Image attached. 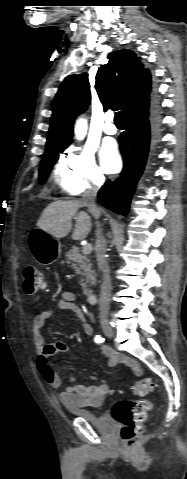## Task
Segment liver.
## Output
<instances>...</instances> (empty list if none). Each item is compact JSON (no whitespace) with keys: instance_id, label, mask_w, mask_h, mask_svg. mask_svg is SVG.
Returning <instances> with one entry per match:
<instances>
[{"instance_id":"6515ba94","label":"liver","mask_w":187,"mask_h":479,"mask_svg":"<svg viewBox=\"0 0 187 479\" xmlns=\"http://www.w3.org/2000/svg\"><path fill=\"white\" fill-rule=\"evenodd\" d=\"M83 207L80 200L55 201L50 203L37 221V227L55 238H63L72 229V218L76 217V224L72 234L73 240H82L87 237L91 230L90 216L81 211Z\"/></svg>"}]
</instances>
